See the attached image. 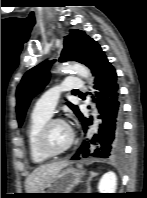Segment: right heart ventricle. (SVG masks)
Returning a JSON list of instances; mask_svg holds the SVG:
<instances>
[{
    "label": "right heart ventricle",
    "instance_id": "e07e8e85",
    "mask_svg": "<svg viewBox=\"0 0 147 198\" xmlns=\"http://www.w3.org/2000/svg\"><path fill=\"white\" fill-rule=\"evenodd\" d=\"M50 118L45 114L32 112L26 128V143L31 161L35 164H42L50 157L44 155L38 147V134L43 124Z\"/></svg>",
    "mask_w": 147,
    "mask_h": 198
}]
</instances>
